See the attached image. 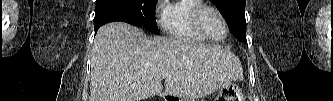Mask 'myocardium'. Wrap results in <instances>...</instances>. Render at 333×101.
<instances>
[{
  "mask_svg": "<svg viewBox=\"0 0 333 101\" xmlns=\"http://www.w3.org/2000/svg\"><path fill=\"white\" fill-rule=\"evenodd\" d=\"M204 10H211V11L215 12L219 16V18L221 19V21L223 23V26H224V34L221 38H218V39L212 38L204 30V28L202 26V23H201V15H202V12ZM191 20H192V24H193V27L195 28V30L201 36H203L206 40H210V41H213V42H221V41L225 40L226 37L229 34V27H228V24H227V21H226L224 15L222 14V12L220 10H218L214 6H211V5H208V4L198 5L192 11Z\"/></svg>",
  "mask_w": 333,
  "mask_h": 101,
  "instance_id": "obj_1",
  "label": "myocardium"
}]
</instances>
